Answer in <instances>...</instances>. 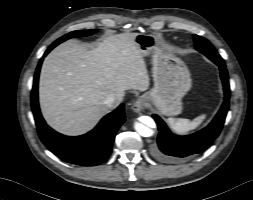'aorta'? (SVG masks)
<instances>
[{
    "label": "aorta",
    "instance_id": "aorta-1",
    "mask_svg": "<svg viewBox=\"0 0 253 200\" xmlns=\"http://www.w3.org/2000/svg\"><path fill=\"white\" fill-rule=\"evenodd\" d=\"M150 121L153 123L152 119H150ZM134 127L137 133L143 137H150L153 135V130L142 123L137 122Z\"/></svg>",
    "mask_w": 253,
    "mask_h": 200
}]
</instances>
